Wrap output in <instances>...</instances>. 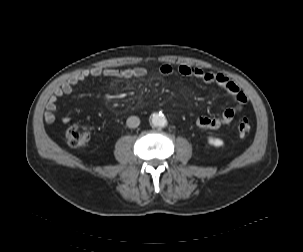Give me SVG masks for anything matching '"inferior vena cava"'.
I'll use <instances>...</instances> for the list:
<instances>
[{"label": "inferior vena cava", "mask_w": 303, "mask_h": 252, "mask_svg": "<svg viewBox=\"0 0 303 252\" xmlns=\"http://www.w3.org/2000/svg\"><path fill=\"white\" fill-rule=\"evenodd\" d=\"M126 124L129 128H136L140 124V119L137 116H130L126 121Z\"/></svg>", "instance_id": "1"}]
</instances>
